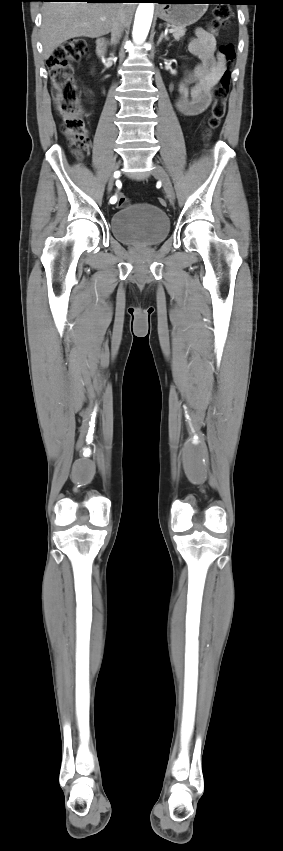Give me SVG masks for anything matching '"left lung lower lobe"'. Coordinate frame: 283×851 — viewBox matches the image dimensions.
Instances as JSON below:
<instances>
[{"label": "left lung lower lobe", "instance_id": "obj_1", "mask_svg": "<svg viewBox=\"0 0 283 851\" xmlns=\"http://www.w3.org/2000/svg\"><path fill=\"white\" fill-rule=\"evenodd\" d=\"M239 0H214L212 3H224L230 5H237Z\"/></svg>", "mask_w": 283, "mask_h": 851}]
</instances>
